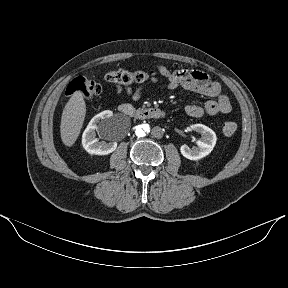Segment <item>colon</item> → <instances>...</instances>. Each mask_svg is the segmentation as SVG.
<instances>
[{"label": "colon", "instance_id": "5ec220e1", "mask_svg": "<svg viewBox=\"0 0 288 288\" xmlns=\"http://www.w3.org/2000/svg\"><path fill=\"white\" fill-rule=\"evenodd\" d=\"M150 75L142 70L128 71L125 69H119L116 71L108 72L105 75V79L108 82H112L120 85H130L134 83L145 82ZM101 91L100 85L94 80L84 77H77L73 79L67 89L66 95L71 96L73 94H80L86 99H91L97 96ZM237 130V125L233 121H226L222 125V131L226 136H232Z\"/></svg>", "mask_w": 288, "mask_h": 288}]
</instances>
